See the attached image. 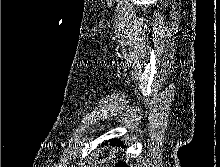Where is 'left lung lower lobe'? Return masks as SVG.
I'll return each mask as SVG.
<instances>
[{
	"label": "left lung lower lobe",
	"instance_id": "1",
	"mask_svg": "<svg viewBox=\"0 0 220 167\" xmlns=\"http://www.w3.org/2000/svg\"><path fill=\"white\" fill-rule=\"evenodd\" d=\"M109 142H110V144L111 145H122L123 146V143L122 142H120L119 140H109ZM104 144V143H103ZM105 144H107V143H105Z\"/></svg>",
	"mask_w": 220,
	"mask_h": 167
}]
</instances>
